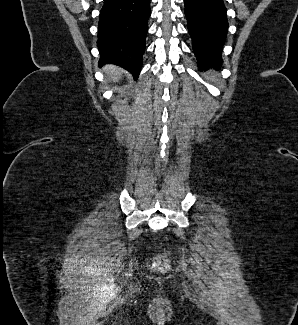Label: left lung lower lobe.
<instances>
[{
  "instance_id": "0a47b994",
  "label": "left lung lower lobe",
  "mask_w": 298,
  "mask_h": 325,
  "mask_svg": "<svg viewBox=\"0 0 298 325\" xmlns=\"http://www.w3.org/2000/svg\"><path fill=\"white\" fill-rule=\"evenodd\" d=\"M188 31L201 68L222 63L228 21L223 0H184Z\"/></svg>"
}]
</instances>
